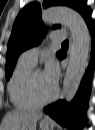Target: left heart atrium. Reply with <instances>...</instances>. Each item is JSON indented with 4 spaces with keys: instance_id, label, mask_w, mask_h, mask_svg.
<instances>
[{
    "instance_id": "39dd6f15",
    "label": "left heart atrium",
    "mask_w": 95,
    "mask_h": 130,
    "mask_svg": "<svg viewBox=\"0 0 95 130\" xmlns=\"http://www.w3.org/2000/svg\"><path fill=\"white\" fill-rule=\"evenodd\" d=\"M59 73L60 71L57 61L52 57L48 58L46 60L45 70L43 72L47 82L52 86L56 87V84L59 79Z\"/></svg>"
}]
</instances>
